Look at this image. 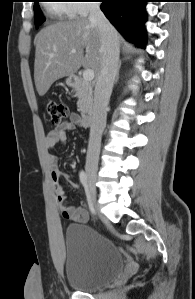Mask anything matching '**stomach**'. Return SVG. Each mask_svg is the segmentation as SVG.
<instances>
[{
    "label": "stomach",
    "instance_id": "stomach-1",
    "mask_svg": "<svg viewBox=\"0 0 195 299\" xmlns=\"http://www.w3.org/2000/svg\"><path fill=\"white\" fill-rule=\"evenodd\" d=\"M66 84L69 85V86H73V81H72L71 76L66 79Z\"/></svg>",
    "mask_w": 195,
    "mask_h": 299
}]
</instances>
